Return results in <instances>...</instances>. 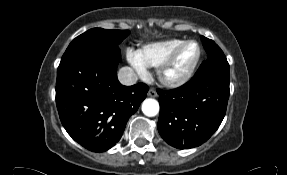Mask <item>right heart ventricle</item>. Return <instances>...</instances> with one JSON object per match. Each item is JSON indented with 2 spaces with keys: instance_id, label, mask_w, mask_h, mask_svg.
<instances>
[{
  "instance_id": "right-heart-ventricle-1",
  "label": "right heart ventricle",
  "mask_w": 287,
  "mask_h": 175,
  "mask_svg": "<svg viewBox=\"0 0 287 175\" xmlns=\"http://www.w3.org/2000/svg\"><path fill=\"white\" fill-rule=\"evenodd\" d=\"M184 40L171 38L143 45L138 55L140 61L146 68H159L172 51Z\"/></svg>"
}]
</instances>
